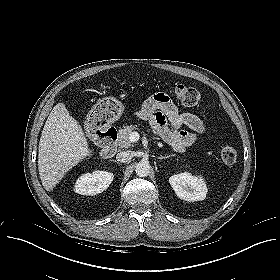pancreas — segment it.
<instances>
[{"instance_id": "obj_1", "label": "pancreas", "mask_w": 280, "mask_h": 280, "mask_svg": "<svg viewBox=\"0 0 280 280\" xmlns=\"http://www.w3.org/2000/svg\"><path fill=\"white\" fill-rule=\"evenodd\" d=\"M136 125H124L123 128L118 131V145L121 148H130L133 146L132 142L129 139V135L134 130H137Z\"/></svg>"}]
</instances>
